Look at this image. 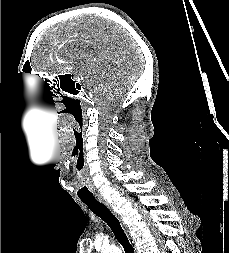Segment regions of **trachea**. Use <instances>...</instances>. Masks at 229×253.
Returning <instances> with one entry per match:
<instances>
[{
    "label": "trachea",
    "mask_w": 229,
    "mask_h": 253,
    "mask_svg": "<svg viewBox=\"0 0 229 253\" xmlns=\"http://www.w3.org/2000/svg\"><path fill=\"white\" fill-rule=\"evenodd\" d=\"M81 201L98 217H100L112 230L115 238L122 245L125 253H134V248L130 244L119 220L115 215L94 196L82 197Z\"/></svg>",
    "instance_id": "1"
}]
</instances>
